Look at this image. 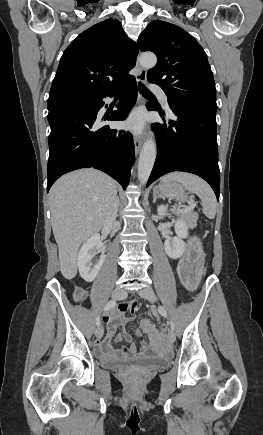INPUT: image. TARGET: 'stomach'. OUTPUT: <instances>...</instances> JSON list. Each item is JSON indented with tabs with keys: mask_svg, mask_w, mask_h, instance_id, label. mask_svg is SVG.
I'll return each instance as SVG.
<instances>
[{
	"mask_svg": "<svg viewBox=\"0 0 263 435\" xmlns=\"http://www.w3.org/2000/svg\"><path fill=\"white\" fill-rule=\"evenodd\" d=\"M158 191L165 197L184 200L187 198L184 188L177 182L166 181L161 182L158 186ZM186 246L189 247V260H181L179 275L182 278L184 288H188L189 293H194L195 288L202 287V267L204 254L197 253L203 250V239L199 233L186 234Z\"/></svg>",
	"mask_w": 263,
	"mask_h": 435,
	"instance_id": "obj_1",
	"label": "stomach"
}]
</instances>
